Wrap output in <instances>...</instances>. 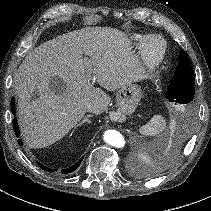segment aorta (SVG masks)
<instances>
[{
	"label": "aorta",
	"mask_w": 211,
	"mask_h": 211,
	"mask_svg": "<svg viewBox=\"0 0 211 211\" xmlns=\"http://www.w3.org/2000/svg\"><path fill=\"white\" fill-rule=\"evenodd\" d=\"M103 138L106 143L116 148H123L125 146L124 137L116 130L105 131Z\"/></svg>",
	"instance_id": "obj_1"
}]
</instances>
